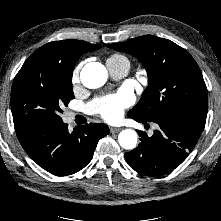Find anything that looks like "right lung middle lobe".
Returning <instances> with one entry per match:
<instances>
[{
    "label": "right lung middle lobe",
    "instance_id": "dd1d6c3e",
    "mask_svg": "<svg viewBox=\"0 0 221 221\" xmlns=\"http://www.w3.org/2000/svg\"><path fill=\"white\" fill-rule=\"evenodd\" d=\"M77 60L33 53L17 73L11 91L15 131L62 123L61 107L74 98L72 73Z\"/></svg>",
    "mask_w": 221,
    "mask_h": 221
}]
</instances>
